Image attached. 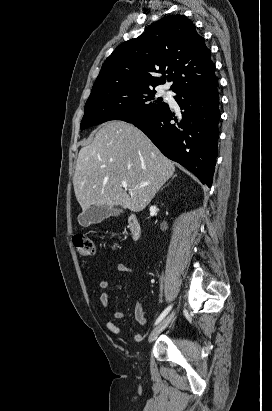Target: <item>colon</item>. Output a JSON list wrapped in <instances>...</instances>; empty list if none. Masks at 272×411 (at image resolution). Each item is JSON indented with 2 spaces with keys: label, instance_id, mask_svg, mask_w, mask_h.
<instances>
[{
  "label": "colon",
  "instance_id": "colon-1",
  "mask_svg": "<svg viewBox=\"0 0 272 411\" xmlns=\"http://www.w3.org/2000/svg\"><path fill=\"white\" fill-rule=\"evenodd\" d=\"M73 244L77 249L79 255L88 257L95 254V244L94 241L85 235H76L73 237Z\"/></svg>",
  "mask_w": 272,
  "mask_h": 411
}]
</instances>
